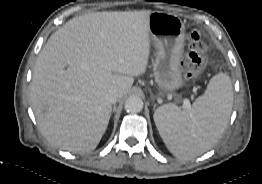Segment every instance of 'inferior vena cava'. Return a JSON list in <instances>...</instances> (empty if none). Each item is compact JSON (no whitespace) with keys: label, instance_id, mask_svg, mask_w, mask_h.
Instances as JSON below:
<instances>
[{"label":"inferior vena cava","instance_id":"602c4592","mask_svg":"<svg viewBox=\"0 0 262 184\" xmlns=\"http://www.w3.org/2000/svg\"><path fill=\"white\" fill-rule=\"evenodd\" d=\"M106 99L109 103L114 104L117 100H119V94L116 90L111 89L107 92Z\"/></svg>","mask_w":262,"mask_h":184}]
</instances>
